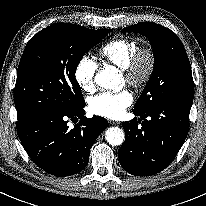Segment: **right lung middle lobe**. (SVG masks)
<instances>
[{
  "mask_svg": "<svg viewBox=\"0 0 206 206\" xmlns=\"http://www.w3.org/2000/svg\"><path fill=\"white\" fill-rule=\"evenodd\" d=\"M110 31L57 23L35 34L27 43L17 70V119L83 104L76 68L85 52Z\"/></svg>",
  "mask_w": 206,
  "mask_h": 206,
  "instance_id": "right-lung-middle-lobe-1",
  "label": "right lung middle lobe"
}]
</instances>
